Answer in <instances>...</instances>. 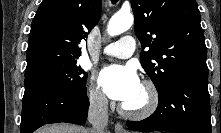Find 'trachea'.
Masks as SVG:
<instances>
[{
  "label": "trachea",
  "instance_id": "1",
  "mask_svg": "<svg viewBox=\"0 0 221 133\" xmlns=\"http://www.w3.org/2000/svg\"><path fill=\"white\" fill-rule=\"evenodd\" d=\"M112 2H113V3H116V2H117V0H112Z\"/></svg>",
  "mask_w": 221,
  "mask_h": 133
}]
</instances>
